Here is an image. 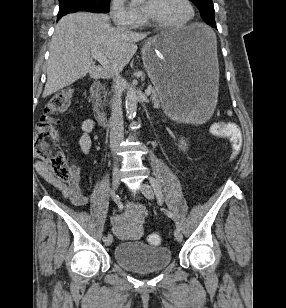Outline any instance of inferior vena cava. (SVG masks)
Here are the masks:
<instances>
[{
    "label": "inferior vena cava",
    "mask_w": 286,
    "mask_h": 308,
    "mask_svg": "<svg viewBox=\"0 0 286 308\" xmlns=\"http://www.w3.org/2000/svg\"><path fill=\"white\" fill-rule=\"evenodd\" d=\"M113 81L112 91L114 94L111 99L110 147L112 151H115L124 137L123 115L120 98L123 79L118 72L115 73V78Z\"/></svg>",
    "instance_id": "1"
}]
</instances>
